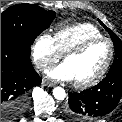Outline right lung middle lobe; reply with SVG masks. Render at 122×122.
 Segmentation results:
<instances>
[{"label": "right lung middle lobe", "mask_w": 122, "mask_h": 122, "mask_svg": "<svg viewBox=\"0 0 122 122\" xmlns=\"http://www.w3.org/2000/svg\"><path fill=\"white\" fill-rule=\"evenodd\" d=\"M54 18V11H45L36 5H14L1 13V37H12L31 46Z\"/></svg>", "instance_id": "right-lung-middle-lobe-1"}]
</instances>
